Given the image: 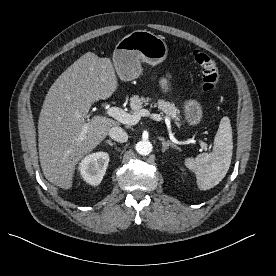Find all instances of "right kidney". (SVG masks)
Here are the masks:
<instances>
[{
    "label": "right kidney",
    "instance_id": "ca27d5eb",
    "mask_svg": "<svg viewBox=\"0 0 276 276\" xmlns=\"http://www.w3.org/2000/svg\"><path fill=\"white\" fill-rule=\"evenodd\" d=\"M108 163L109 155L106 152L89 154L79 164L80 175L88 184L97 186L105 175Z\"/></svg>",
    "mask_w": 276,
    "mask_h": 276
}]
</instances>
